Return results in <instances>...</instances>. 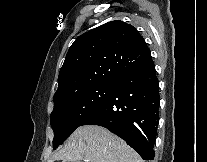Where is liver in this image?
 Here are the masks:
<instances>
[{
    "instance_id": "liver-1",
    "label": "liver",
    "mask_w": 207,
    "mask_h": 162,
    "mask_svg": "<svg viewBox=\"0 0 207 162\" xmlns=\"http://www.w3.org/2000/svg\"><path fill=\"white\" fill-rule=\"evenodd\" d=\"M144 162L124 140L98 125L77 128L51 162Z\"/></svg>"
}]
</instances>
